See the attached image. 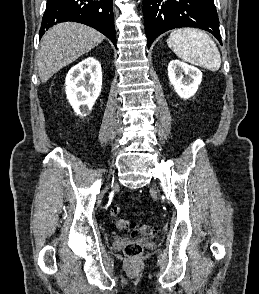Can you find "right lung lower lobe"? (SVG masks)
<instances>
[{
	"instance_id": "right-lung-lower-lobe-1",
	"label": "right lung lower lobe",
	"mask_w": 259,
	"mask_h": 294,
	"mask_svg": "<svg viewBox=\"0 0 259 294\" xmlns=\"http://www.w3.org/2000/svg\"><path fill=\"white\" fill-rule=\"evenodd\" d=\"M113 0H47L39 37L57 23L73 21L93 27L116 46Z\"/></svg>"
}]
</instances>
